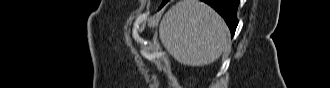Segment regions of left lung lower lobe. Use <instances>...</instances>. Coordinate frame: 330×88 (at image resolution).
<instances>
[{"mask_svg":"<svg viewBox=\"0 0 330 88\" xmlns=\"http://www.w3.org/2000/svg\"><path fill=\"white\" fill-rule=\"evenodd\" d=\"M168 1L169 0H163L160 8L163 7ZM201 1L210 5L224 18L226 24L228 25L231 31V37H233L236 27L238 25L236 13L240 0H201Z\"/></svg>","mask_w":330,"mask_h":88,"instance_id":"1","label":"left lung lower lobe"}]
</instances>
